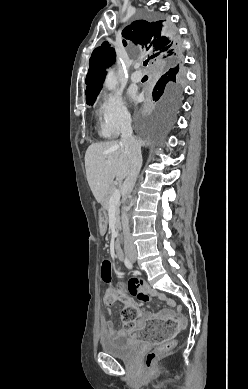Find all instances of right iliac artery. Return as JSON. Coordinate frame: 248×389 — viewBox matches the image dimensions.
I'll return each mask as SVG.
<instances>
[{
	"mask_svg": "<svg viewBox=\"0 0 248 389\" xmlns=\"http://www.w3.org/2000/svg\"><path fill=\"white\" fill-rule=\"evenodd\" d=\"M124 264H125V266H126L128 269H132V267H133L131 261H130L127 257H125V259H124Z\"/></svg>",
	"mask_w": 248,
	"mask_h": 389,
	"instance_id": "1",
	"label": "right iliac artery"
}]
</instances>
